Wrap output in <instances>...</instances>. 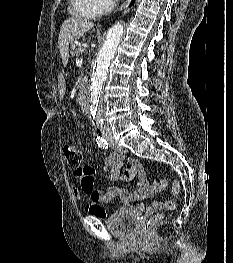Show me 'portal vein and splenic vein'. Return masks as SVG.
<instances>
[{
  "label": "portal vein and splenic vein",
  "mask_w": 233,
  "mask_h": 263,
  "mask_svg": "<svg viewBox=\"0 0 233 263\" xmlns=\"http://www.w3.org/2000/svg\"><path fill=\"white\" fill-rule=\"evenodd\" d=\"M78 62H79L80 64H82L83 61H82V59H79Z\"/></svg>",
  "instance_id": "18ae733b"
}]
</instances>
